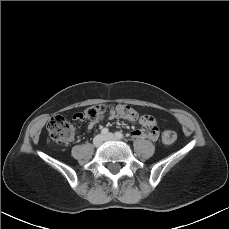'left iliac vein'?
Masks as SVG:
<instances>
[{
  "label": "left iliac vein",
  "mask_w": 229,
  "mask_h": 229,
  "mask_svg": "<svg viewBox=\"0 0 229 229\" xmlns=\"http://www.w3.org/2000/svg\"><path fill=\"white\" fill-rule=\"evenodd\" d=\"M104 139L108 141V140H117L118 138L113 133H109L104 137Z\"/></svg>",
  "instance_id": "obj_1"
}]
</instances>
